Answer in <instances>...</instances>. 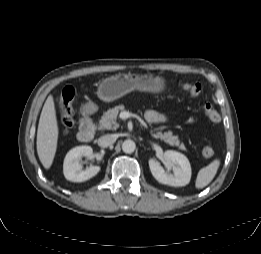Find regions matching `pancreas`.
<instances>
[{
    "instance_id": "1",
    "label": "pancreas",
    "mask_w": 261,
    "mask_h": 254,
    "mask_svg": "<svg viewBox=\"0 0 261 254\" xmlns=\"http://www.w3.org/2000/svg\"><path fill=\"white\" fill-rule=\"evenodd\" d=\"M123 110H124L123 105H118V106H115L114 108L107 110L103 114L101 120L99 121L98 128L100 130L117 129L119 127V125L116 122V119H117L118 113ZM150 134L152 137H154L156 139H161L171 146H177L180 150L187 151L185 145L183 143H181L180 140L178 139V137L174 136L172 132L162 133L160 128H154V129H150Z\"/></svg>"
}]
</instances>
